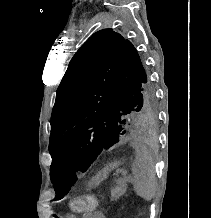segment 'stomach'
<instances>
[{
	"instance_id": "obj_1",
	"label": "stomach",
	"mask_w": 211,
	"mask_h": 218,
	"mask_svg": "<svg viewBox=\"0 0 211 218\" xmlns=\"http://www.w3.org/2000/svg\"><path fill=\"white\" fill-rule=\"evenodd\" d=\"M118 166H119V163L114 162L104 167L102 171H99L98 174L90 180V182L88 183L89 187L98 185L101 181H103L107 177V175L109 174L111 170H113L114 168Z\"/></svg>"
}]
</instances>
